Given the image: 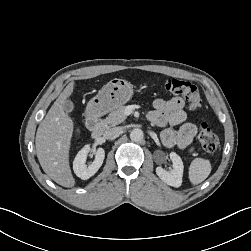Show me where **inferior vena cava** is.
I'll list each match as a JSON object with an SVG mask.
<instances>
[{
    "label": "inferior vena cava",
    "mask_w": 251,
    "mask_h": 251,
    "mask_svg": "<svg viewBox=\"0 0 251 251\" xmlns=\"http://www.w3.org/2000/svg\"><path fill=\"white\" fill-rule=\"evenodd\" d=\"M122 131V128L121 127H115V128H111V129H108L104 132L103 136L105 139H111L117 135H119Z\"/></svg>",
    "instance_id": "inferior-vena-cava-1"
}]
</instances>
